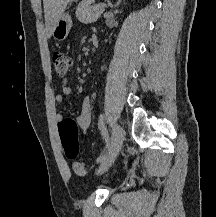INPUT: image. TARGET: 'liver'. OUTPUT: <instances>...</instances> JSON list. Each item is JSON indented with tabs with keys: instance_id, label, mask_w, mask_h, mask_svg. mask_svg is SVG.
I'll use <instances>...</instances> for the list:
<instances>
[{
	"instance_id": "1",
	"label": "liver",
	"mask_w": 216,
	"mask_h": 217,
	"mask_svg": "<svg viewBox=\"0 0 216 217\" xmlns=\"http://www.w3.org/2000/svg\"><path fill=\"white\" fill-rule=\"evenodd\" d=\"M70 1L72 0H43L45 26L48 37L52 35L55 23L64 13Z\"/></svg>"
}]
</instances>
